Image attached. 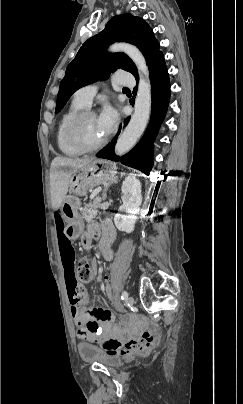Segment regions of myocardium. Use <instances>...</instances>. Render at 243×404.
<instances>
[{
	"instance_id": "1",
	"label": "myocardium",
	"mask_w": 243,
	"mask_h": 404,
	"mask_svg": "<svg viewBox=\"0 0 243 404\" xmlns=\"http://www.w3.org/2000/svg\"><path fill=\"white\" fill-rule=\"evenodd\" d=\"M75 97V95H74ZM89 116H97L96 113L93 110L90 109H83L76 113L66 124L64 128V137L65 139L71 143L72 145L76 146L77 148L83 150L84 152H93L96 151L100 148H102L106 142L107 139L104 138L103 140L99 141L98 143L94 145H89L82 141L77 133L76 129L77 126L87 117Z\"/></svg>"
}]
</instances>
